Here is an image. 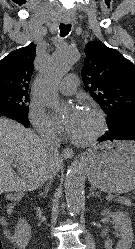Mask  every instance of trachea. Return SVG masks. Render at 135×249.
<instances>
[{
    "mask_svg": "<svg viewBox=\"0 0 135 249\" xmlns=\"http://www.w3.org/2000/svg\"><path fill=\"white\" fill-rule=\"evenodd\" d=\"M59 29H60V36L64 37L69 34L71 30V24L60 23Z\"/></svg>",
    "mask_w": 135,
    "mask_h": 249,
    "instance_id": "3493384b",
    "label": "trachea"
}]
</instances>
